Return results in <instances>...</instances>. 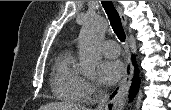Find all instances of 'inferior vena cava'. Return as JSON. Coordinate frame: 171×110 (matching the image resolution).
<instances>
[{
  "instance_id": "inferior-vena-cava-1",
  "label": "inferior vena cava",
  "mask_w": 171,
  "mask_h": 110,
  "mask_svg": "<svg viewBox=\"0 0 171 110\" xmlns=\"http://www.w3.org/2000/svg\"><path fill=\"white\" fill-rule=\"evenodd\" d=\"M107 100H108V94L103 93V95H102V97L100 99V102L98 104V109L99 110H102L106 106Z\"/></svg>"
}]
</instances>
